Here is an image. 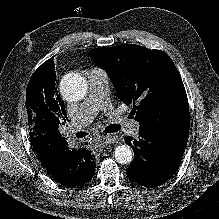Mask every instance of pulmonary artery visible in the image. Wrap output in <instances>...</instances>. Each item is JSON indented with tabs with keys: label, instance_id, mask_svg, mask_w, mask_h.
Wrapping results in <instances>:
<instances>
[{
	"label": "pulmonary artery",
	"instance_id": "pulmonary-artery-1",
	"mask_svg": "<svg viewBox=\"0 0 219 219\" xmlns=\"http://www.w3.org/2000/svg\"><path fill=\"white\" fill-rule=\"evenodd\" d=\"M89 95L87 99L79 106L73 116L72 126L75 130L88 125L93 121L99 110L112 109L109 102V77L107 73L99 68H92L88 71ZM118 121H124L119 119ZM124 127L133 135H137L140 130V124L137 121H126Z\"/></svg>",
	"mask_w": 219,
	"mask_h": 219
}]
</instances>
